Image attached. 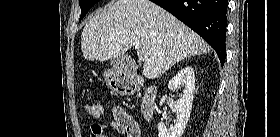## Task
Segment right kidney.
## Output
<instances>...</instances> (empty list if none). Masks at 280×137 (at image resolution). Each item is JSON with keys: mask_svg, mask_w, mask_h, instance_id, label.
Segmentation results:
<instances>
[{"mask_svg": "<svg viewBox=\"0 0 280 137\" xmlns=\"http://www.w3.org/2000/svg\"><path fill=\"white\" fill-rule=\"evenodd\" d=\"M179 86L183 87V93L180 95V99L174 104V112L177 115V120L170 131L167 130L163 122L158 123L159 137H181L186 128L195 92L194 69L191 66L181 69L169 81L168 88L170 91L176 90ZM166 98L167 95L162 97L160 105L165 102Z\"/></svg>", "mask_w": 280, "mask_h": 137, "instance_id": "ca27d5eb", "label": "right kidney"}]
</instances>
